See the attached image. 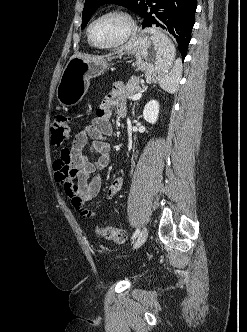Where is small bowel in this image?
I'll list each match as a JSON object with an SVG mask.
<instances>
[{
  "label": "small bowel",
  "mask_w": 247,
  "mask_h": 332,
  "mask_svg": "<svg viewBox=\"0 0 247 332\" xmlns=\"http://www.w3.org/2000/svg\"><path fill=\"white\" fill-rule=\"evenodd\" d=\"M113 110L118 118L127 116L126 101L120 85L106 96L91 123L75 136L71 149H63L53 164L55 181L61 185L80 217L86 220L96 215L89 209L88 202L99 194L100 171L110 161L108 138L112 134ZM86 147L89 153L98 154V157L92 158L85 154ZM123 182L121 176L115 177L107 188L106 198L113 199Z\"/></svg>",
  "instance_id": "c3829d8e"
}]
</instances>
